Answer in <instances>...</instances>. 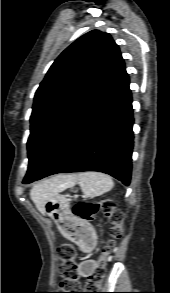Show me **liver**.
I'll return each instance as SVG.
<instances>
[{
	"label": "liver",
	"instance_id": "6515ba94",
	"mask_svg": "<svg viewBox=\"0 0 170 293\" xmlns=\"http://www.w3.org/2000/svg\"><path fill=\"white\" fill-rule=\"evenodd\" d=\"M77 176L71 175H60L53 177L49 180H45L42 183L36 185L30 192V197L34 202L36 208L41 214H45L44 204L46 200L52 195L60 192L68 187H71Z\"/></svg>",
	"mask_w": 170,
	"mask_h": 293
}]
</instances>
